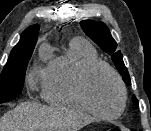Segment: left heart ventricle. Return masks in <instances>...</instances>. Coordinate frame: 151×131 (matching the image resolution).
<instances>
[{
  "label": "left heart ventricle",
  "mask_w": 151,
  "mask_h": 131,
  "mask_svg": "<svg viewBox=\"0 0 151 131\" xmlns=\"http://www.w3.org/2000/svg\"><path fill=\"white\" fill-rule=\"evenodd\" d=\"M87 93L92 105L101 113L114 114L121 103L118 85L109 71L104 68L94 71L87 83Z\"/></svg>",
  "instance_id": "left-heart-ventricle-1"
}]
</instances>
